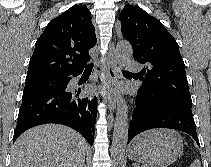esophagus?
I'll list each match as a JSON object with an SVG mask.
<instances>
[{
    "mask_svg": "<svg viewBox=\"0 0 211 167\" xmlns=\"http://www.w3.org/2000/svg\"><path fill=\"white\" fill-rule=\"evenodd\" d=\"M117 69H116V53L114 46L111 44L110 51L107 56L106 65V95L110 110L114 111L117 103L116 93Z\"/></svg>",
    "mask_w": 211,
    "mask_h": 167,
    "instance_id": "obj_1",
    "label": "esophagus"
}]
</instances>
